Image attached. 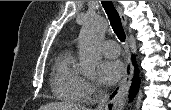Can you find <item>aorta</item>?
Segmentation results:
<instances>
[{"label": "aorta", "mask_w": 171, "mask_h": 110, "mask_svg": "<svg viewBox=\"0 0 171 110\" xmlns=\"http://www.w3.org/2000/svg\"><path fill=\"white\" fill-rule=\"evenodd\" d=\"M106 27L105 20L97 15L89 16L82 27L79 40V70L85 75L94 74L99 64L98 44Z\"/></svg>", "instance_id": "762f6f07"}]
</instances>
